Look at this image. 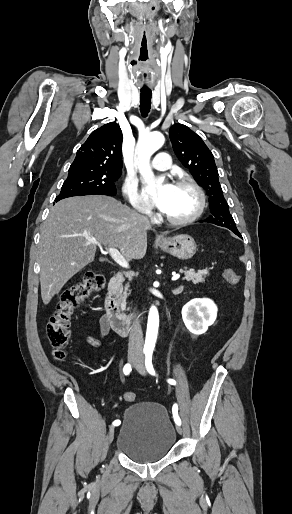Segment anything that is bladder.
I'll list each match as a JSON object with an SVG mask.
<instances>
[{"mask_svg":"<svg viewBox=\"0 0 292 514\" xmlns=\"http://www.w3.org/2000/svg\"><path fill=\"white\" fill-rule=\"evenodd\" d=\"M175 442L174 426L162 405L137 402L126 408L116 448L128 459L141 464L160 461Z\"/></svg>","mask_w":292,"mask_h":514,"instance_id":"bladder-1","label":"bladder"}]
</instances>
